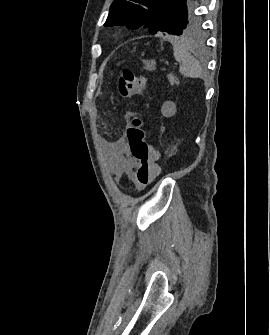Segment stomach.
I'll return each instance as SVG.
<instances>
[{
  "instance_id": "stomach-1",
  "label": "stomach",
  "mask_w": 270,
  "mask_h": 335,
  "mask_svg": "<svg viewBox=\"0 0 270 335\" xmlns=\"http://www.w3.org/2000/svg\"><path fill=\"white\" fill-rule=\"evenodd\" d=\"M155 66H156V62L155 60H146V62H144V68L145 70H155Z\"/></svg>"
}]
</instances>
